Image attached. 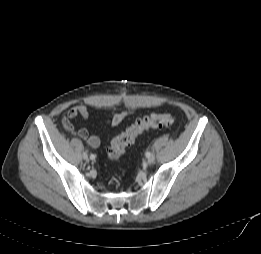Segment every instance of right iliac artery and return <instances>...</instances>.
<instances>
[{"label":"right iliac artery","instance_id":"1","mask_svg":"<svg viewBox=\"0 0 261 254\" xmlns=\"http://www.w3.org/2000/svg\"><path fill=\"white\" fill-rule=\"evenodd\" d=\"M90 159H91V160H94V159H95V155H94V154H91V155H90Z\"/></svg>","mask_w":261,"mask_h":254}]
</instances>
